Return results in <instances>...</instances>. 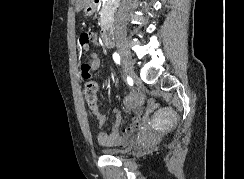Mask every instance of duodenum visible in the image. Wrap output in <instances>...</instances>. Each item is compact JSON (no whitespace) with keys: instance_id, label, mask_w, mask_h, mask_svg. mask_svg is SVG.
<instances>
[{"instance_id":"1","label":"duodenum","mask_w":244,"mask_h":179,"mask_svg":"<svg viewBox=\"0 0 244 179\" xmlns=\"http://www.w3.org/2000/svg\"><path fill=\"white\" fill-rule=\"evenodd\" d=\"M92 5L100 6L101 0H94L92 2ZM101 36H102V39L106 46L111 47L115 44L114 31L112 30V28L110 27V24L108 22L103 25V30H102Z\"/></svg>"}]
</instances>
